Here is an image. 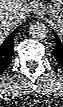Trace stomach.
Returning a JSON list of instances; mask_svg holds the SVG:
<instances>
[{
    "label": "stomach",
    "instance_id": "stomach-1",
    "mask_svg": "<svg viewBox=\"0 0 63 107\" xmlns=\"http://www.w3.org/2000/svg\"><path fill=\"white\" fill-rule=\"evenodd\" d=\"M46 12L51 15V19L54 22L55 27L59 30H63V1L56 0L53 4L46 8Z\"/></svg>",
    "mask_w": 63,
    "mask_h": 107
}]
</instances>
